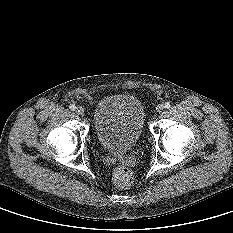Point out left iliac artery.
Returning a JSON list of instances; mask_svg holds the SVG:
<instances>
[{
	"label": "left iliac artery",
	"instance_id": "1",
	"mask_svg": "<svg viewBox=\"0 0 233 233\" xmlns=\"http://www.w3.org/2000/svg\"><path fill=\"white\" fill-rule=\"evenodd\" d=\"M164 107L167 108V109H169V108L171 107L170 102H166V103L164 104Z\"/></svg>",
	"mask_w": 233,
	"mask_h": 233
}]
</instances>
